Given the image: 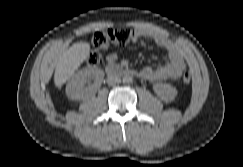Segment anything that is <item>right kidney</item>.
I'll list each match as a JSON object with an SVG mask.
<instances>
[{
  "instance_id": "ca27d5eb",
  "label": "right kidney",
  "mask_w": 243,
  "mask_h": 167,
  "mask_svg": "<svg viewBox=\"0 0 243 167\" xmlns=\"http://www.w3.org/2000/svg\"><path fill=\"white\" fill-rule=\"evenodd\" d=\"M103 78L104 72L100 69H82L69 80L66 95L75 101L90 97L100 88Z\"/></svg>"
}]
</instances>
